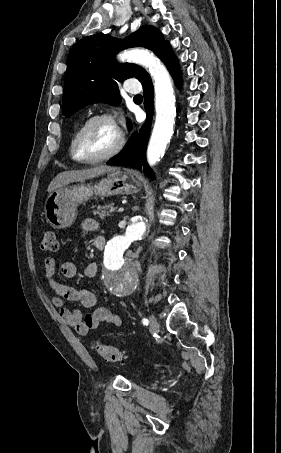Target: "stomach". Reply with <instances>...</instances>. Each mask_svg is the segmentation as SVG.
<instances>
[{"instance_id": "0dacf381", "label": "stomach", "mask_w": 281, "mask_h": 453, "mask_svg": "<svg viewBox=\"0 0 281 453\" xmlns=\"http://www.w3.org/2000/svg\"><path fill=\"white\" fill-rule=\"evenodd\" d=\"M140 186L142 178L136 170H114L95 184L81 180L79 184L61 186L52 190L45 200L46 220L53 229H66L71 227L77 216V206L93 194H99L102 198L109 194H130L138 192Z\"/></svg>"}]
</instances>
